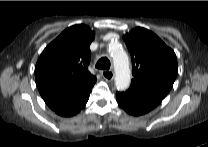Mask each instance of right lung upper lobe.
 <instances>
[{"label": "right lung upper lobe", "instance_id": "cb5924a9", "mask_svg": "<svg viewBox=\"0 0 208 147\" xmlns=\"http://www.w3.org/2000/svg\"><path fill=\"white\" fill-rule=\"evenodd\" d=\"M94 32L83 24L64 30L40 55L35 80L45 103L54 111L88 95L96 77L88 71Z\"/></svg>", "mask_w": 208, "mask_h": 147}]
</instances>
